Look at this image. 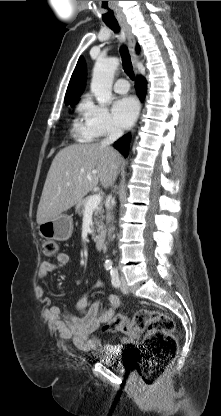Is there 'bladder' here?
<instances>
[{
	"instance_id": "bladder-1",
	"label": "bladder",
	"mask_w": 221,
	"mask_h": 416,
	"mask_svg": "<svg viewBox=\"0 0 221 416\" xmlns=\"http://www.w3.org/2000/svg\"><path fill=\"white\" fill-rule=\"evenodd\" d=\"M114 357H115V355L113 353H110V352H103L102 353V361L105 365L113 366L116 369H123L124 368L123 365H117V364L114 363Z\"/></svg>"
}]
</instances>
